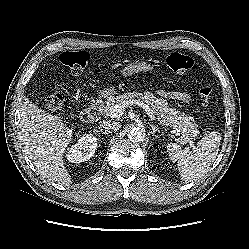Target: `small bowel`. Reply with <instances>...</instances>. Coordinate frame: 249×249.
I'll return each instance as SVG.
<instances>
[{
  "label": "small bowel",
  "instance_id": "1",
  "mask_svg": "<svg viewBox=\"0 0 249 249\" xmlns=\"http://www.w3.org/2000/svg\"><path fill=\"white\" fill-rule=\"evenodd\" d=\"M159 94L164 98L173 99L184 103L191 101L190 95L185 92L161 90Z\"/></svg>",
  "mask_w": 249,
  "mask_h": 249
}]
</instances>
